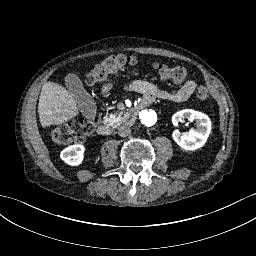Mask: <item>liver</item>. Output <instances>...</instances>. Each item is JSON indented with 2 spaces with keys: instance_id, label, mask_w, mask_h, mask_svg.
I'll list each match as a JSON object with an SVG mask.
<instances>
[{
  "instance_id": "1",
  "label": "liver",
  "mask_w": 256,
  "mask_h": 256,
  "mask_svg": "<svg viewBox=\"0 0 256 256\" xmlns=\"http://www.w3.org/2000/svg\"><path fill=\"white\" fill-rule=\"evenodd\" d=\"M42 128L62 125L80 115L73 94L55 81H46L41 89L38 105Z\"/></svg>"
}]
</instances>
